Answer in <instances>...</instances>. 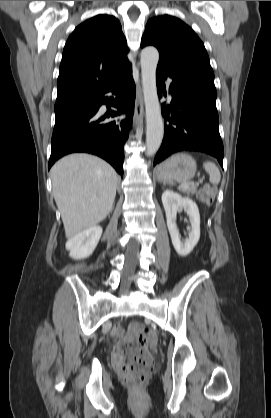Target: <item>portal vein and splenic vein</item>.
<instances>
[{"instance_id": "18ae733b", "label": "portal vein and splenic vein", "mask_w": 271, "mask_h": 418, "mask_svg": "<svg viewBox=\"0 0 271 418\" xmlns=\"http://www.w3.org/2000/svg\"><path fill=\"white\" fill-rule=\"evenodd\" d=\"M201 181H202V180H201ZM188 187H189V185H188V184H184V185H182V186H181V188H182V189H187Z\"/></svg>"}]
</instances>
